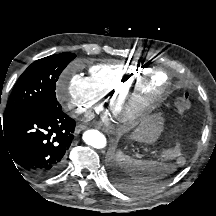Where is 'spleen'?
Wrapping results in <instances>:
<instances>
[{
    "instance_id": "spleen-1",
    "label": "spleen",
    "mask_w": 216,
    "mask_h": 216,
    "mask_svg": "<svg viewBox=\"0 0 216 216\" xmlns=\"http://www.w3.org/2000/svg\"><path fill=\"white\" fill-rule=\"evenodd\" d=\"M116 160L138 186L161 179L174 170L171 165L153 160L134 159L121 151L117 152Z\"/></svg>"
}]
</instances>
